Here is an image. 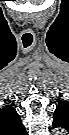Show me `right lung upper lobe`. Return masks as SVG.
I'll list each match as a JSON object with an SVG mask.
<instances>
[{
    "label": "right lung upper lobe",
    "mask_w": 69,
    "mask_h": 135,
    "mask_svg": "<svg viewBox=\"0 0 69 135\" xmlns=\"http://www.w3.org/2000/svg\"><path fill=\"white\" fill-rule=\"evenodd\" d=\"M1 113L3 119L1 124L2 135H26L21 119L12 106L5 107Z\"/></svg>",
    "instance_id": "obj_1"
}]
</instances>
